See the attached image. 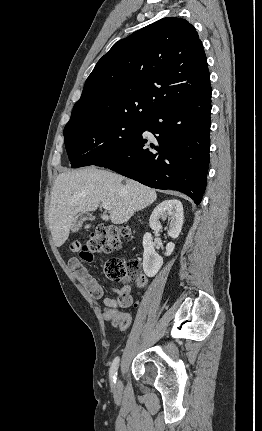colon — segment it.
I'll return each mask as SVG.
<instances>
[{"mask_svg":"<svg viewBox=\"0 0 262 431\" xmlns=\"http://www.w3.org/2000/svg\"><path fill=\"white\" fill-rule=\"evenodd\" d=\"M130 234L129 228L101 224L95 228L86 241H73L70 244V250L76 253L81 261H92L96 254L107 253L120 248L123 241L130 237ZM104 274L112 281H123L129 278L135 279L139 285L143 284L140 264L135 259L127 262L121 259H111L104 265ZM106 319L121 329H126L130 325V318L126 314L106 316Z\"/></svg>","mask_w":262,"mask_h":431,"instance_id":"colon-1","label":"colon"}]
</instances>
